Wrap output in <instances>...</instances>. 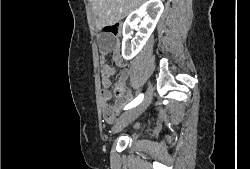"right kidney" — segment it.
Listing matches in <instances>:
<instances>
[{
	"mask_svg": "<svg viewBox=\"0 0 250 169\" xmlns=\"http://www.w3.org/2000/svg\"><path fill=\"white\" fill-rule=\"evenodd\" d=\"M148 8H150L151 12L148 16L143 18L144 14H147ZM163 10L164 6L162 0H146L144 4H141L139 8H136V10H133V12L127 16L122 30L123 58L130 60V58H133V56H136V54L140 52L141 48L146 44L150 34H152ZM133 14H135V16H133ZM137 22H141V24H139V28H137V32L132 38V30L136 28ZM129 38H131L130 42Z\"/></svg>",
	"mask_w": 250,
	"mask_h": 169,
	"instance_id": "obj_1",
	"label": "right kidney"
}]
</instances>
